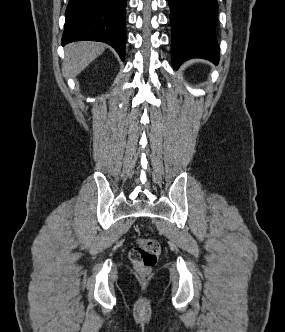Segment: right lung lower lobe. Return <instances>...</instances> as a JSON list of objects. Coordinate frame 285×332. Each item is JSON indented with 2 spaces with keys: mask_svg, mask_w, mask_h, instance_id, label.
Here are the masks:
<instances>
[{
  "mask_svg": "<svg viewBox=\"0 0 285 332\" xmlns=\"http://www.w3.org/2000/svg\"><path fill=\"white\" fill-rule=\"evenodd\" d=\"M126 0H70L62 45L78 40L105 42L125 58Z\"/></svg>",
  "mask_w": 285,
  "mask_h": 332,
  "instance_id": "obj_1",
  "label": "right lung lower lobe"
}]
</instances>
